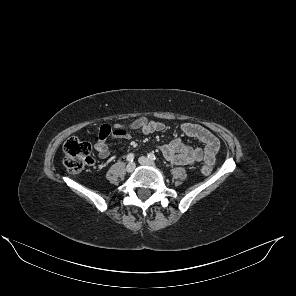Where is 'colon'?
I'll return each instance as SVG.
<instances>
[{
	"label": "colon",
	"instance_id": "obj_1",
	"mask_svg": "<svg viewBox=\"0 0 296 296\" xmlns=\"http://www.w3.org/2000/svg\"><path fill=\"white\" fill-rule=\"evenodd\" d=\"M63 154V163L72 173L81 172L87 164L93 161L90 144L76 137L67 139L64 144ZM212 168L213 164L206 162L202 167V173L209 175L212 172Z\"/></svg>",
	"mask_w": 296,
	"mask_h": 296
}]
</instances>
